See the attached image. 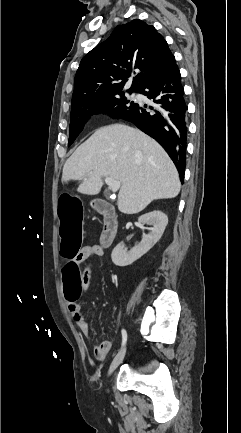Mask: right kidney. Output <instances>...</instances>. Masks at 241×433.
I'll return each instance as SVG.
<instances>
[{
  "label": "right kidney",
  "instance_id": "1",
  "mask_svg": "<svg viewBox=\"0 0 241 433\" xmlns=\"http://www.w3.org/2000/svg\"><path fill=\"white\" fill-rule=\"evenodd\" d=\"M141 227L150 225V233L145 235L141 242L135 245L130 251L121 244H118L112 251V262L117 266H128L146 254L162 237L168 224V217L159 210H153L138 218Z\"/></svg>",
  "mask_w": 241,
  "mask_h": 433
}]
</instances>
